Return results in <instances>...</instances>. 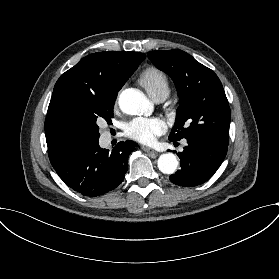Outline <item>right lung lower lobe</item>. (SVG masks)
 <instances>
[{"instance_id": "right-lung-lower-lobe-1", "label": "right lung lower lobe", "mask_w": 279, "mask_h": 279, "mask_svg": "<svg viewBox=\"0 0 279 279\" xmlns=\"http://www.w3.org/2000/svg\"><path fill=\"white\" fill-rule=\"evenodd\" d=\"M96 140L53 164L63 182L84 196L105 194L121 184L128 169L133 141L119 142L109 153Z\"/></svg>"}]
</instances>
